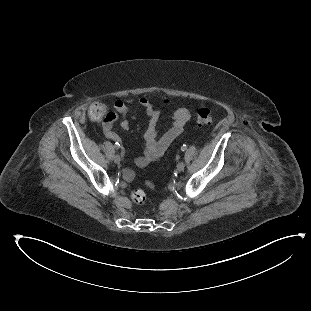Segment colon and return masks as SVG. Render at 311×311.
Instances as JSON below:
<instances>
[{
  "label": "colon",
  "mask_w": 311,
  "mask_h": 311,
  "mask_svg": "<svg viewBox=\"0 0 311 311\" xmlns=\"http://www.w3.org/2000/svg\"><path fill=\"white\" fill-rule=\"evenodd\" d=\"M149 107V105H147ZM88 116L93 122L106 123L111 121L112 113L110 108L102 102H94L88 109ZM217 112L209 108H202L197 112V123L200 127H207L212 124ZM133 202L137 206H144L147 202V195L142 189H134L131 193Z\"/></svg>",
  "instance_id": "5ec220e1"
}]
</instances>
